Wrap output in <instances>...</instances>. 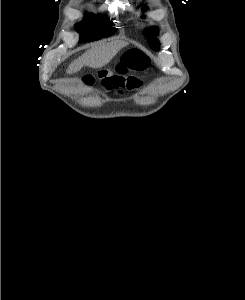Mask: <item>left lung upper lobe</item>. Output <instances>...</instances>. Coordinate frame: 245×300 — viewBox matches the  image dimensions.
Wrapping results in <instances>:
<instances>
[{"label":"left lung upper lobe","mask_w":245,"mask_h":300,"mask_svg":"<svg viewBox=\"0 0 245 300\" xmlns=\"http://www.w3.org/2000/svg\"><path fill=\"white\" fill-rule=\"evenodd\" d=\"M157 34H158V29L155 28V27L147 29L146 32H145V35L147 37V41H148L150 47L154 50L159 49V42L155 38V35H157Z\"/></svg>","instance_id":"5c2ea615"}]
</instances>
